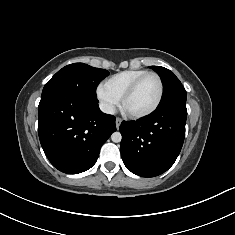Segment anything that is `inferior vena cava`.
I'll list each match as a JSON object with an SVG mask.
<instances>
[{
    "mask_svg": "<svg viewBox=\"0 0 235 235\" xmlns=\"http://www.w3.org/2000/svg\"><path fill=\"white\" fill-rule=\"evenodd\" d=\"M100 109L102 112L107 113V114H114L115 113V107L113 105H109L106 103H101Z\"/></svg>",
    "mask_w": 235,
    "mask_h": 235,
    "instance_id": "inferior-vena-cava-1",
    "label": "inferior vena cava"
}]
</instances>
